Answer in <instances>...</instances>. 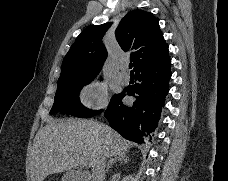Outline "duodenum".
I'll return each mask as SVG.
<instances>
[{
    "instance_id": "obj_1",
    "label": "duodenum",
    "mask_w": 228,
    "mask_h": 181,
    "mask_svg": "<svg viewBox=\"0 0 228 181\" xmlns=\"http://www.w3.org/2000/svg\"><path fill=\"white\" fill-rule=\"evenodd\" d=\"M63 181H84L83 174H78V172H67Z\"/></svg>"
}]
</instances>
